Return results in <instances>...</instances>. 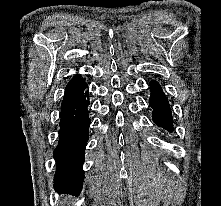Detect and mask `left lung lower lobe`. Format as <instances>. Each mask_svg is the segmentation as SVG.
I'll use <instances>...</instances> for the list:
<instances>
[{
  "label": "left lung lower lobe",
  "mask_w": 221,
  "mask_h": 206,
  "mask_svg": "<svg viewBox=\"0 0 221 206\" xmlns=\"http://www.w3.org/2000/svg\"><path fill=\"white\" fill-rule=\"evenodd\" d=\"M151 96L149 104L153 109L154 123L166 129L169 132L173 131L172 115L169 102L165 97L160 85L156 81L150 82Z\"/></svg>",
  "instance_id": "1"
}]
</instances>
